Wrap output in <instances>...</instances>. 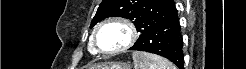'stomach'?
<instances>
[{
  "label": "stomach",
  "mask_w": 246,
  "mask_h": 69,
  "mask_svg": "<svg viewBox=\"0 0 246 69\" xmlns=\"http://www.w3.org/2000/svg\"><path fill=\"white\" fill-rule=\"evenodd\" d=\"M90 69H130V68L124 64L110 63V64H102V65L93 66Z\"/></svg>",
  "instance_id": "1"
}]
</instances>
